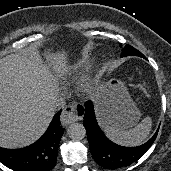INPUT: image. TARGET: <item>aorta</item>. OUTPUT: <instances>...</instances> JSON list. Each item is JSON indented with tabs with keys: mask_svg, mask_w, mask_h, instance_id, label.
I'll return each mask as SVG.
<instances>
[{
	"mask_svg": "<svg viewBox=\"0 0 171 171\" xmlns=\"http://www.w3.org/2000/svg\"><path fill=\"white\" fill-rule=\"evenodd\" d=\"M67 134L72 140H82L86 136V129L83 124L72 123L67 129Z\"/></svg>",
	"mask_w": 171,
	"mask_h": 171,
	"instance_id": "1",
	"label": "aorta"
}]
</instances>
